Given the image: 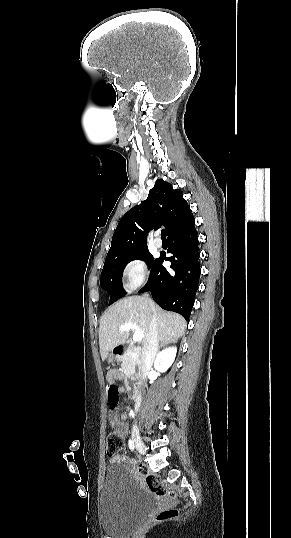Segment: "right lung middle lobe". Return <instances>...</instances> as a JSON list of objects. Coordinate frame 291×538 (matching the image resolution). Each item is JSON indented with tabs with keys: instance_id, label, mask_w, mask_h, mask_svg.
Listing matches in <instances>:
<instances>
[{
	"instance_id": "1",
	"label": "right lung middle lobe",
	"mask_w": 291,
	"mask_h": 538,
	"mask_svg": "<svg viewBox=\"0 0 291 538\" xmlns=\"http://www.w3.org/2000/svg\"><path fill=\"white\" fill-rule=\"evenodd\" d=\"M133 260L145 261L148 268H152L156 259L153 258L146 248L105 260L101 273V286L111 295L109 305L126 295L122 286V275L125 266Z\"/></svg>"
}]
</instances>
